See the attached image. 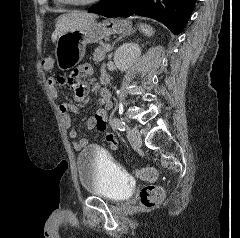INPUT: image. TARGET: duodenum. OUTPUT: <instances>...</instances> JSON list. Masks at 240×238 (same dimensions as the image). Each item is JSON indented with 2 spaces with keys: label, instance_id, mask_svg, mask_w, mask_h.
<instances>
[{
  "label": "duodenum",
  "instance_id": "obj_1",
  "mask_svg": "<svg viewBox=\"0 0 240 238\" xmlns=\"http://www.w3.org/2000/svg\"><path fill=\"white\" fill-rule=\"evenodd\" d=\"M108 81H109L108 76L107 75H103L102 82L106 85V84H108Z\"/></svg>",
  "mask_w": 240,
  "mask_h": 238
}]
</instances>
